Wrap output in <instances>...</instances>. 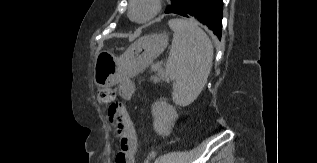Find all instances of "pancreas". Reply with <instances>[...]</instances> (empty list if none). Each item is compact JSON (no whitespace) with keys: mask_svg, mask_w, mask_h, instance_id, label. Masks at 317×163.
Masks as SVG:
<instances>
[{"mask_svg":"<svg viewBox=\"0 0 317 163\" xmlns=\"http://www.w3.org/2000/svg\"><path fill=\"white\" fill-rule=\"evenodd\" d=\"M151 70L155 72V75L151 77L154 82H160L166 79L164 69L161 66L152 65Z\"/></svg>","mask_w":317,"mask_h":163,"instance_id":"obj_1","label":"pancreas"}]
</instances>
